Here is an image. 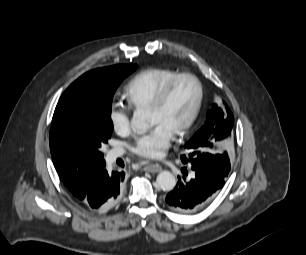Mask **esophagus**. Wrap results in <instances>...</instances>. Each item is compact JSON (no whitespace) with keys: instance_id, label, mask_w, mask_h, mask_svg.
<instances>
[{"instance_id":"34e87169","label":"esophagus","mask_w":306,"mask_h":255,"mask_svg":"<svg viewBox=\"0 0 306 255\" xmlns=\"http://www.w3.org/2000/svg\"><path fill=\"white\" fill-rule=\"evenodd\" d=\"M143 170L150 173H158L162 170L159 164H147L143 167Z\"/></svg>"}]
</instances>
